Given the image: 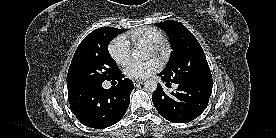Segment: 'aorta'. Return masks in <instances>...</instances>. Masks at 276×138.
Instances as JSON below:
<instances>
[{
  "label": "aorta",
  "mask_w": 276,
  "mask_h": 138,
  "mask_svg": "<svg viewBox=\"0 0 276 138\" xmlns=\"http://www.w3.org/2000/svg\"><path fill=\"white\" fill-rule=\"evenodd\" d=\"M149 56L148 53L142 51L141 49H135L132 52V57L136 60H143ZM145 90L149 92H154L157 89V82L153 79L146 80L144 83Z\"/></svg>",
  "instance_id": "aorta-1"
}]
</instances>
